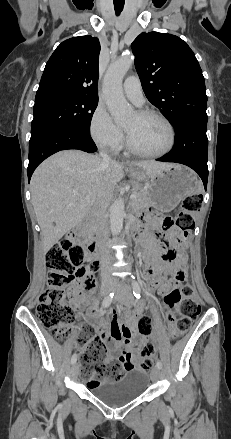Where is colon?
Returning a JSON list of instances; mask_svg holds the SVG:
<instances>
[{"mask_svg":"<svg viewBox=\"0 0 231 439\" xmlns=\"http://www.w3.org/2000/svg\"><path fill=\"white\" fill-rule=\"evenodd\" d=\"M202 196L192 194L182 203V208L175 218L154 217L162 231H169L174 226L180 228L181 233L174 238L185 242L188 233L194 229L195 214L200 210ZM159 239L165 237L158 235ZM174 258L173 254L169 255ZM46 264L49 269L47 289L39 297L36 314L41 324L56 338H62L72 327L73 309L70 305L71 296L82 288L91 289L94 285L93 276L99 269L97 261H91L81 246L75 245L70 238H64L54 244L46 254ZM178 282H184L185 275L180 267L173 277ZM164 302L167 305L166 318L170 325L173 337H178L188 331L191 324L200 313V306L196 301L193 287L184 283L182 288H173L165 292ZM138 331L143 336L151 332V321L148 317L140 319ZM86 340H80L79 345L85 346L81 353V377L88 381L90 387L98 386L101 379L119 380L123 374L122 364L118 361H108L107 349L100 338L93 337L91 332L85 334ZM145 358L140 367L149 371L153 366V357L156 353L152 344L144 347ZM128 368L133 364L128 363Z\"/></svg>","mask_w":231,"mask_h":439,"instance_id":"5ec220e1","label":"colon"}]
</instances>
